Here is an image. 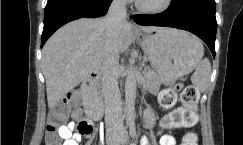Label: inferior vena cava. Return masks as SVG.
<instances>
[{"label": "inferior vena cava", "instance_id": "inferior-vena-cava-1", "mask_svg": "<svg viewBox=\"0 0 243 145\" xmlns=\"http://www.w3.org/2000/svg\"><path fill=\"white\" fill-rule=\"evenodd\" d=\"M126 0H113L105 17L109 45L103 60L102 93L105 100L106 121H111L121 109V96L118 88L119 53L116 40L120 27L126 22Z\"/></svg>", "mask_w": 243, "mask_h": 145}]
</instances>
